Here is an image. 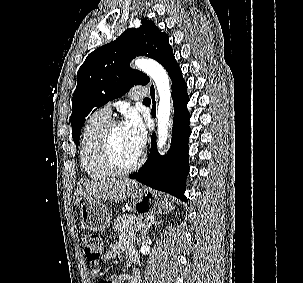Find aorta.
Listing matches in <instances>:
<instances>
[{
	"label": "aorta",
	"mask_w": 303,
	"mask_h": 283,
	"mask_svg": "<svg viewBox=\"0 0 303 283\" xmlns=\"http://www.w3.org/2000/svg\"><path fill=\"white\" fill-rule=\"evenodd\" d=\"M134 65L154 81L159 94V104L157 107V147L159 152L163 154L168 140L171 115L169 77L164 67L153 59L139 58L134 61Z\"/></svg>",
	"instance_id": "762f6f07"
}]
</instances>
